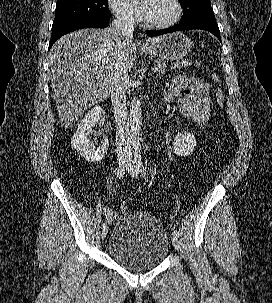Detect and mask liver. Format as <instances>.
<instances>
[{"instance_id": "liver-1", "label": "liver", "mask_w": 272, "mask_h": 303, "mask_svg": "<svg viewBox=\"0 0 272 303\" xmlns=\"http://www.w3.org/2000/svg\"><path fill=\"white\" fill-rule=\"evenodd\" d=\"M163 36L147 39L158 42ZM118 37L112 26L85 28L61 37L49 52L50 80L59 120L65 127L111 93V79L117 59ZM132 39L125 48L128 70L136 59Z\"/></svg>"}]
</instances>
